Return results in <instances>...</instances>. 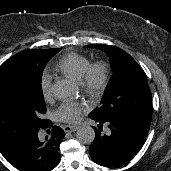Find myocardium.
Wrapping results in <instances>:
<instances>
[{
  "label": "myocardium",
  "instance_id": "f54148a6",
  "mask_svg": "<svg viewBox=\"0 0 171 171\" xmlns=\"http://www.w3.org/2000/svg\"><path fill=\"white\" fill-rule=\"evenodd\" d=\"M109 80V69L106 63L99 61L91 63L79 80L82 89L89 93L102 91Z\"/></svg>",
  "mask_w": 171,
  "mask_h": 171
}]
</instances>
